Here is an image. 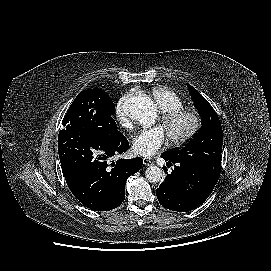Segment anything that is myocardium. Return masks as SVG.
Instances as JSON below:
<instances>
[{"instance_id": "myocardium-1", "label": "myocardium", "mask_w": 271, "mask_h": 271, "mask_svg": "<svg viewBox=\"0 0 271 271\" xmlns=\"http://www.w3.org/2000/svg\"><path fill=\"white\" fill-rule=\"evenodd\" d=\"M180 119H187L188 126L181 133H175L172 131L174 123ZM161 121L167 130L168 136L173 144L182 145L190 141L201 128L200 115L193 109L178 108L163 111L161 113Z\"/></svg>"}]
</instances>
